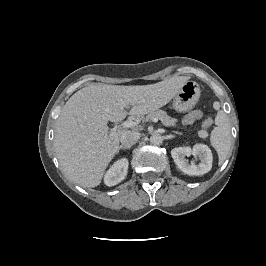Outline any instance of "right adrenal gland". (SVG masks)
<instances>
[{
	"mask_svg": "<svg viewBox=\"0 0 266 266\" xmlns=\"http://www.w3.org/2000/svg\"><path fill=\"white\" fill-rule=\"evenodd\" d=\"M126 149H129V148H127V147H125V146H119V148H118V150H117V154L119 153V151L120 150H126Z\"/></svg>",
	"mask_w": 266,
	"mask_h": 266,
	"instance_id": "obj_1",
	"label": "right adrenal gland"
}]
</instances>
